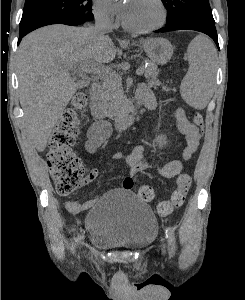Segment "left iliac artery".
I'll list each match as a JSON object with an SVG mask.
<instances>
[{
  "label": "left iliac artery",
  "mask_w": 245,
  "mask_h": 300,
  "mask_svg": "<svg viewBox=\"0 0 245 300\" xmlns=\"http://www.w3.org/2000/svg\"><path fill=\"white\" fill-rule=\"evenodd\" d=\"M166 236L168 239L169 253L171 255H174L176 249V240H175L174 230L172 227H168L166 229Z\"/></svg>",
  "instance_id": "44dca946"
}]
</instances>
